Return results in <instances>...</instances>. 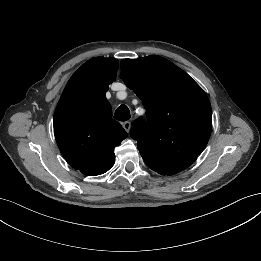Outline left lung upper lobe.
<instances>
[{
	"instance_id": "left-lung-upper-lobe-1",
	"label": "left lung upper lobe",
	"mask_w": 261,
	"mask_h": 261,
	"mask_svg": "<svg viewBox=\"0 0 261 261\" xmlns=\"http://www.w3.org/2000/svg\"><path fill=\"white\" fill-rule=\"evenodd\" d=\"M120 77L146 109L147 124L138 119L131 130L145 163L163 175L189 167L211 134L212 112L205 92L179 67L155 55L123 59Z\"/></svg>"
}]
</instances>
